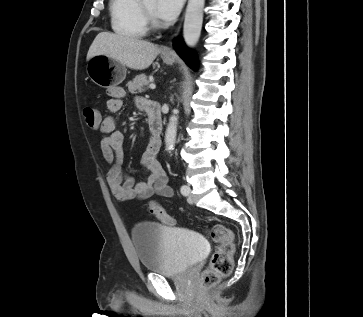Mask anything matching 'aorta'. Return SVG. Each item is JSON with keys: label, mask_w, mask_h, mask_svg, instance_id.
I'll use <instances>...</instances> for the list:
<instances>
[{"label": "aorta", "mask_w": 363, "mask_h": 317, "mask_svg": "<svg viewBox=\"0 0 363 317\" xmlns=\"http://www.w3.org/2000/svg\"><path fill=\"white\" fill-rule=\"evenodd\" d=\"M205 0H189L185 13L183 37L186 45L194 47L200 37L203 23V7ZM178 117H170L165 133L166 150L171 152L174 149L177 135Z\"/></svg>", "instance_id": "obj_1"}]
</instances>
